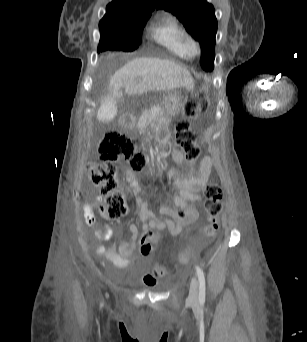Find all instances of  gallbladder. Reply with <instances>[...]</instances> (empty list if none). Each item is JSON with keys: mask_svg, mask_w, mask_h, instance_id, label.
Here are the masks:
<instances>
[{"mask_svg": "<svg viewBox=\"0 0 307 342\" xmlns=\"http://www.w3.org/2000/svg\"><path fill=\"white\" fill-rule=\"evenodd\" d=\"M121 95H107L105 103H100L97 117L100 118L101 123H109L110 118H113L118 108L117 102L122 101Z\"/></svg>", "mask_w": 307, "mask_h": 342, "instance_id": "obj_1", "label": "gallbladder"}]
</instances>
